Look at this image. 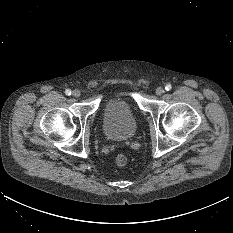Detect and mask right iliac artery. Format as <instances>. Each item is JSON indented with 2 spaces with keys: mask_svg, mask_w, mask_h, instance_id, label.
Instances as JSON below:
<instances>
[{
  "mask_svg": "<svg viewBox=\"0 0 233 233\" xmlns=\"http://www.w3.org/2000/svg\"><path fill=\"white\" fill-rule=\"evenodd\" d=\"M65 94H66V95H71V90H70V89H67V90L65 91Z\"/></svg>",
  "mask_w": 233,
  "mask_h": 233,
  "instance_id": "82829eb1",
  "label": "right iliac artery"
}]
</instances>
